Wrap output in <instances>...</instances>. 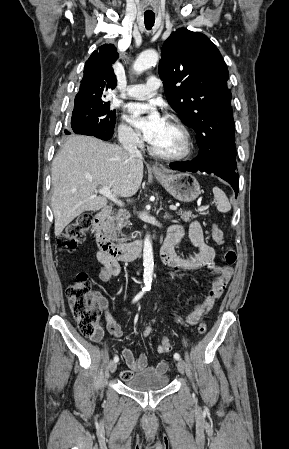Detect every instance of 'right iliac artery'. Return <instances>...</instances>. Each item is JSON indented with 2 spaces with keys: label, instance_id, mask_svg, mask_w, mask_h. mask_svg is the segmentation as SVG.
<instances>
[{
  "label": "right iliac artery",
  "instance_id": "obj_1",
  "mask_svg": "<svg viewBox=\"0 0 289 449\" xmlns=\"http://www.w3.org/2000/svg\"><path fill=\"white\" fill-rule=\"evenodd\" d=\"M144 292H145V289H143L141 292H139V293L134 297L133 303H135L136 301H138V300L143 296ZM114 361H115V362H118V361H119L118 356H115V357H114Z\"/></svg>",
  "mask_w": 289,
  "mask_h": 449
}]
</instances>
